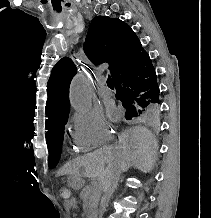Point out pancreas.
Listing matches in <instances>:
<instances>
[{
    "mask_svg": "<svg viewBox=\"0 0 211 218\" xmlns=\"http://www.w3.org/2000/svg\"><path fill=\"white\" fill-rule=\"evenodd\" d=\"M82 200H85V205H92V208H97V197H101V189L97 186H86V190L82 191Z\"/></svg>",
    "mask_w": 211,
    "mask_h": 218,
    "instance_id": "1",
    "label": "pancreas"
}]
</instances>
